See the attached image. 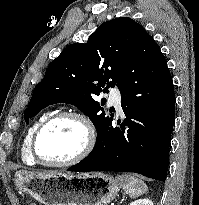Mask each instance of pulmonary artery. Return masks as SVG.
<instances>
[{
	"instance_id": "pulmonary-artery-1",
	"label": "pulmonary artery",
	"mask_w": 199,
	"mask_h": 205,
	"mask_svg": "<svg viewBox=\"0 0 199 205\" xmlns=\"http://www.w3.org/2000/svg\"><path fill=\"white\" fill-rule=\"evenodd\" d=\"M109 104L113 105L117 109V111H119V112L122 111V108H121V94H120V91L118 89H114L110 92Z\"/></svg>"
}]
</instances>
